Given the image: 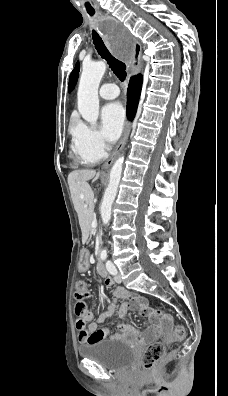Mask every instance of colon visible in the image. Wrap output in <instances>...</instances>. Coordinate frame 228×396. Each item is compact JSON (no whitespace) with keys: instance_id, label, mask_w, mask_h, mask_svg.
Listing matches in <instances>:
<instances>
[{"instance_id":"colon-1","label":"colon","mask_w":228,"mask_h":396,"mask_svg":"<svg viewBox=\"0 0 228 396\" xmlns=\"http://www.w3.org/2000/svg\"><path fill=\"white\" fill-rule=\"evenodd\" d=\"M89 296V290L87 284L84 281H78L75 284V298L77 301L76 305V314L78 316V320L76 323L77 329H83L86 326L85 320V312L86 305L85 301ZM156 315H161L162 312L160 310L155 311ZM185 335L184 329L182 326H176L173 332V339L179 341L183 339ZM165 355V347L160 342H153L148 345L146 348L141 364L144 370L151 371L153 370L157 364L162 360Z\"/></svg>"}]
</instances>
